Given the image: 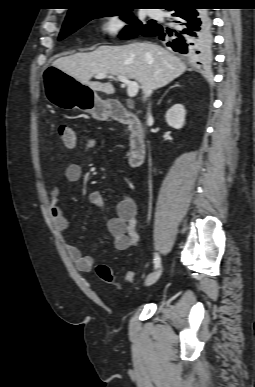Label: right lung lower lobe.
Wrapping results in <instances>:
<instances>
[{
	"label": "right lung lower lobe",
	"mask_w": 255,
	"mask_h": 387,
	"mask_svg": "<svg viewBox=\"0 0 255 387\" xmlns=\"http://www.w3.org/2000/svg\"><path fill=\"white\" fill-rule=\"evenodd\" d=\"M205 4L197 0H183L169 5L175 29L158 25L145 28L143 36H158L167 46L176 52L186 54L191 60L204 62L211 50V21ZM156 25V24H154Z\"/></svg>",
	"instance_id": "right-lung-lower-lobe-1"
}]
</instances>
